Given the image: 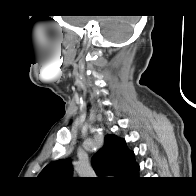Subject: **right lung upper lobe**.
<instances>
[{"mask_svg":"<svg viewBox=\"0 0 196 196\" xmlns=\"http://www.w3.org/2000/svg\"><path fill=\"white\" fill-rule=\"evenodd\" d=\"M93 167L98 175L119 179H131L138 175L139 165L134 153L126 147L124 140L114 135L105 136L104 147L93 157ZM72 166L69 160H59L47 165L39 178L49 184H57L70 178Z\"/></svg>","mask_w":196,"mask_h":196,"instance_id":"cb5924a9","label":"right lung upper lobe"}]
</instances>
